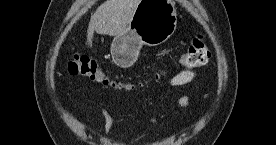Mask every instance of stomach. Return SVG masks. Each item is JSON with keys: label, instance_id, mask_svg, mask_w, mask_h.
Returning a JSON list of instances; mask_svg holds the SVG:
<instances>
[{"label": "stomach", "instance_id": "stomach-1", "mask_svg": "<svg viewBox=\"0 0 276 145\" xmlns=\"http://www.w3.org/2000/svg\"><path fill=\"white\" fill-rule=\"evenodd\" d=\"M177 27V10L169 0H140L126 30L111 43L114 63L128 68L137 60L143 45L166 42Z\"/></svg>", "mask_w": 276, "mask_h": 145}]
</instances>
